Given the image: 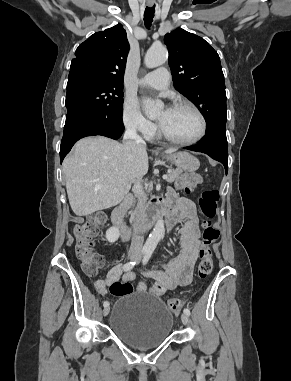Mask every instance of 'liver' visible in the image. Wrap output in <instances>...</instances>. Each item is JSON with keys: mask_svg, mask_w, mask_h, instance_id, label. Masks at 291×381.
Here are the masks:
<instances>
[{"mask_svg": "<svg viewBox=\"0 0 291 381\" xmlns=\"http://www.w3.org/2000/svg\"><path fill=\"white\" fill-rule=\"evenodd\" d=\"M176 149H167L173 153ZM146 148L133 140L123 143L106 137L79 140L72 154L63 161L68 199L77 216L118 205L131 184L148 171Z\"/></svg>", "mask_w": 291, "mask_h": 381, "instance_id": "liver-1", "label": "liver"}]
</instances>
